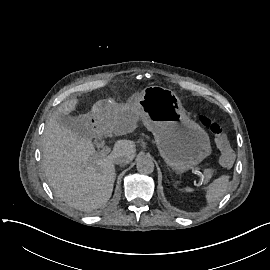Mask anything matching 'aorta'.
Masks as SVG:
<instances>
[{
  "label": "aorta",
  "instance_id": "obj_1",
  "mask_svg": "<svg viewBox=\"0 0 270 270\" xmlns=\"http://www.w3.org/2000/svg\"><path fill=\"white\" fill-rule=\"evenodd\" d=\"M154 163L148 157H140L137 161V170L140 174L148 175L154 171Z\"/></svg>",
  "mask_w": 270,
  "mask_h": 270
}]
</instances>
